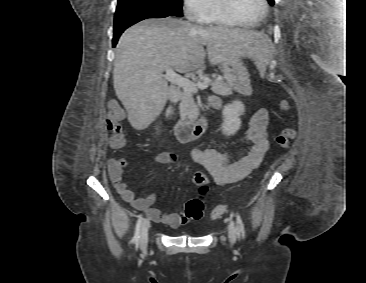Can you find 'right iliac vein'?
<instances>
[{
	"instance_id": "obj_1",
	"label": "right iliac vein",
	"mask_w": 366,
	"mask_h": 283,
	"mask_svg": "<svg viewBox=\"0 0 366 283\" xmlns=\"http://www.w3.org/2000/svg\"><path fill=\"white\" fill-rule=\"evenodd\" d=\"M150 227V222L148 219H145L142 227H141V235L139 245L142 250H145L148 244V231Z\"/></svg>"
}]
</instances>
